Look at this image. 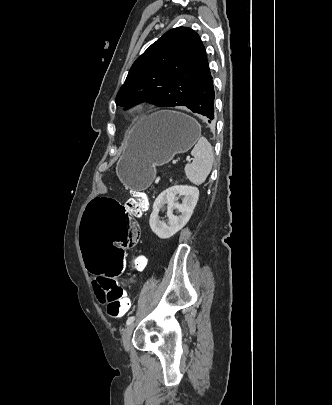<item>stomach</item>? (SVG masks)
I'll return each instance as SVG.
<instances>
[{"mask_svg": "<svg viewBox=\"0 0 332 405\" xmlns=\"http://www.w3.org/2000/svg\"><path fill=\"white\" fill-rule=\"evenodd\" d=\"M200 137V124L185 113L165 110L142 117L117 162V177L128 189L145 190L155 177L156 166L187 152Z\"/></svg>", "mask_w": 332, "mask_h": 405, "instance_id": "1", "label": "stomach"}]
</instances>
